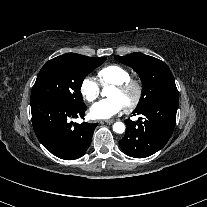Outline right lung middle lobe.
I'll list each match as a JSON object with an SVG mask.
<instances>
[{
  "mask_svg": "<svg viewBox=\"0 0 207 207\" xmlns=\"http://www.w3.org/2000/svg\"><path fill=\"white\" fill-rule=\"evenodd\" d=\"M105 60V57L90 58L76 53L49 60L37 76L31 100L49 97L72 106L84 105L80 92L82 82L87 74Z\"/></svg>",
  "mask_w": 207,
  "mask_h": 207,
  "instance_id": "obj_1",
  "label": "right lung middle lobe"
}]
</instances>
